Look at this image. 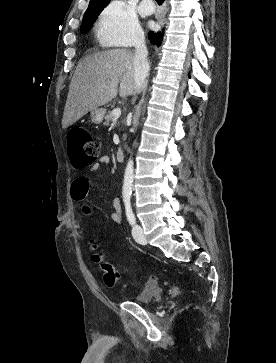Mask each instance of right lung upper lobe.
Wrapping results in <instances>:
<instances>
[{
	"label": "right lung upper lobe",
	"instance_id": "cb5924a9",
	"mask_svg": "<svg viewBox=\"0 0 276 363\" xmlns=\"http://www.w3.org/2000/svg\"><path fill=\"white\" fill-rule=\"evenodd\" d=\"M110 0H90L89 5L91 4H107Z\"/></svg>",
	"mask_w": 276,
	"mask_h": 363
}]
</instances>
